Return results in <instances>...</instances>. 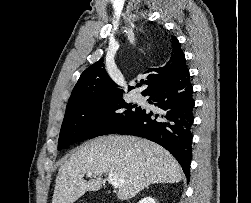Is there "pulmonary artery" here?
Segmentation results:
<instances>
[{
	"instance_id": "1",
	"label": "pulmonary artery",
	"mask_w": 251,
	"mask_h": 203,
	"mask_svg": "<svg viewBox=\"0 0 251 203\" xmlns=\"http://www.w3.org/2000/svg\"><path fill=\"white\" fill-rule=\"evenodd\" d=\"M134 100L137 102H141L143 100V97L141 94L137 93L134 95Z\"/></svg>"
}]
</instances>
